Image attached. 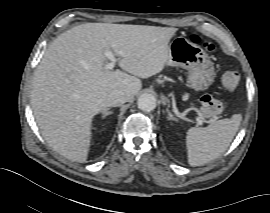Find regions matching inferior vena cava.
Here are the masks:
<instances>
[{
    "label": "inferior vena cava",
    "mask_w": 270,
    "mask_h": 213,
    "mask_svg": "<svg viewBox=\"0 0 270 213\" xmlns=\"http://www.w3.org/2000/svg\"><path fill=\"white\" fill-rule=\"evenodd\" d=\"M108 101L110 106H119L127 101V97L124 92L113 90L108 96Z\"/></svg>",
    "instance_id": "602c4592"
}]
</instances>
